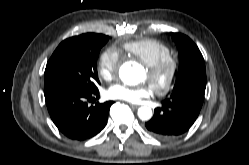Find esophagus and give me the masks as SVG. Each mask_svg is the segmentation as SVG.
<instances>
[{"label": "esophagus", "mask_w": 249, "mask_h": 165, "mask_svg": "<svg viewBox=\"0 0 249 165\" xmlns=\"http://www.w3.org/2000/svg\"><path fill=\"white\" fill-rule=\"evenodd\" d=\"M130 106H131L132 108H134V109H136V108L139 107V105H135V104H130Z\"/></svg>", "instance_id": "esophagus-1"}]
</instances>
